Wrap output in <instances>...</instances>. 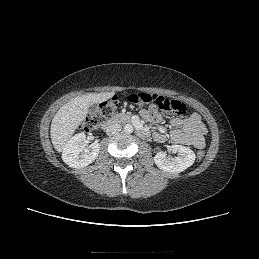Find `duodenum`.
<instances>
[{"label": "duodenum", "instance_id": "obj_1", "mask_svg": "<svg viewBox=\"0 0 259 259\" xmlns=\"http://www.w3.org/2000/svg\"><path fill=\"white\" fill-rule=\"evenodd\" d=\"M119 118H111L107 121L104 122L103 124V128L104 129H107L109 127H111L112 125H114L117 121H118ZM133 123L136 125V128H137V133L139 136L141 137H146L148 136V130H146L144 127H142L137 120H133Z\"/></svg>", "mask_w": 259, "mask_h": 259}]
</instances>
